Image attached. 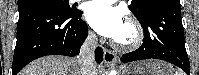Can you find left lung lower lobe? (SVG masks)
<instances>
[{"label": "left lung lower lobe", "mask_w": 199, "mask_h": 75, "mask_svg": "<svg viewBox=\"0 0 199 75\" xmlns=\"http://www.w3.org/2000/svg\"><path fill=\"white\" fill-rule=\"evenodd\" d=\"M139 22L144 31L143 44L137 50L123 54L120 61L164 60L189 75L190 64L185 49L180 1L168 0L157 4Z\"/></svg>", "instance_id": "obj_1"}]
</instances>
